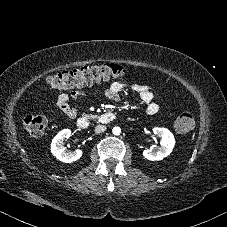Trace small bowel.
Returning a JSON list of instances; mask_svg holds the SVG:
<instances>
[{
    "label": "small bowel",
    "instance_id": "obj_1",
    "mask_svg": "<svg viewBox=\"0 0 227 227\" xmlns=\"http://www.w3.org/2000/svg\"><path fill=\"white\" fill-rule=\"evenodd\" d=\"M128 88L138 93L147 114L154 115L159 111L160 105L156 101V93L153 88L146 85L113 82L105 90H99L98 88L93 87L91 92H101L106 98L116 101L120 98V94ZM87 94L88 91L86 90H75L70 93L60 94L56 99V106L67 117L74 118L76 115L77 101Z\"/></svg>",
    "mask_w": 227,
    "mask_h": 227
}]
</instances>
